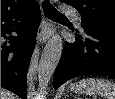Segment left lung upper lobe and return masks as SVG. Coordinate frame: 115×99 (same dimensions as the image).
Listing matches in <instances>:
<instances>
[{"mask_svg":"<svg viewBox=\"0 0 115 99\" xmlns=\"http://www.w3.org/2000/svg\"><path fill=\"white\" fill-rule=\"evenodd\" d=\"M81 15L82 28L115 33V0H61Z\"/></svg>","mask_w":115,"mask_h":99,"instance_id":"obj_1","label":"left lung upper lobe"}]
</instances>
